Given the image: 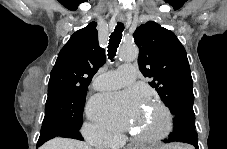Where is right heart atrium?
<instances>
[{
    "label": "right heart atrium",
    "instance_id": "d8ad5b80",
    "mask_svg": "<svg viewBox=\"0 0 227 149\" xmlns=\"http://www.w3.org/2000/svg\"><path fill=\"white\" fill-rule=\"evenodd\" d=\"M82 133L85 139L95 146L112 145L114 141V137L96 123L86 122L83 125Z\"/></svg>",
    "mask_w": 227,
    "mask_h": 149
}]
</instances>
